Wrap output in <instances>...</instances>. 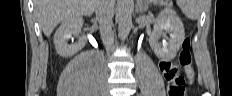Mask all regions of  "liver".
<instances>
[{
  "label": "liver",
  "instance_id": "1",
  "mask_svg": "<svg viewBox=\"0 0 232 96\" xmlns=\"http://www.w3.org/2000/svg\"><path fill=\"white\" fill-rule=\"evenodd\" d=\"M39 24L49 37L58 23L76 15L90 16L97 0H34Z\"/></svg>",
  "mask_w": 232,
  "mask_h": 96
}]
</instances>
